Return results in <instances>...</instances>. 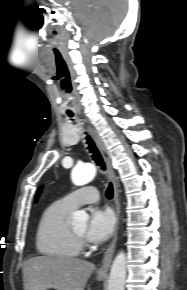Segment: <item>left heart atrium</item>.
<instances>
[{
	"mask_svg": "<svg viewBox=\"0 0 187 290\" xmlns=\"http://www.w3.org/2000/svg\"><path fill=\"white\" fill-rule=\"evenodd\" d=\"M115 228V217L108 209L94 208L91 210L86 238L90 242L99 243L107 240Z\"/></svg>",
	"mask_w": 187,
	"mask_h": 290,
	"instance_id": "39dd6f15",
	"label": "left heart atrium"
}]
</instances>
